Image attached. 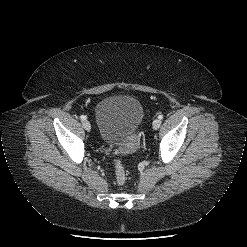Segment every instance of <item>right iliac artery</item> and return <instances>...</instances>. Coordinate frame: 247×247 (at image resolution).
Instances as JSON below:
<instances>
[{"mask_svg": "<svg viewBox=\"0 0 247 247\" xmlns=\"http://www.w3.org/2000/svg\"><path fill=\"white\" fill-rule=\"evenodd\" d=\"M80 119H81V120H86V119H87V117H86V116H84V115H81V116H80Z\"/></svg>", "mask_w": 247, "mask_h": 247, "instance_id": "right-iliac-artery-1", "label": "right iliac artery"}]
</instances>
